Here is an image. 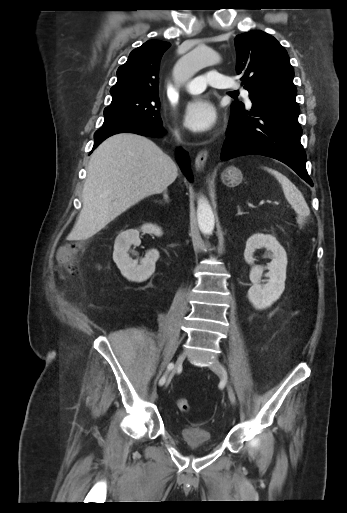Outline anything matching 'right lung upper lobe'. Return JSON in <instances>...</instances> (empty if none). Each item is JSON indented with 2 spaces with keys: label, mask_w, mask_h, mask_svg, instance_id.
<instances>
[{
  "label": "right lung upper lobe",
  "mask_w": 347,
  "mask_h": 513,
  "mask_svg": "<svg viewBox=\"0 0 347 513\" xmlns=\"http://www.w3.org/2000/svg\"><path fill=\"white\" fill-rule=\"evenodd\" d=\"M170 45L166 41L149 40L134 49L117 70V83L110 90L112 97L126 93H158L159 64Z\"/></svg>",
  "instance_id": "1"
}]
</instances>
